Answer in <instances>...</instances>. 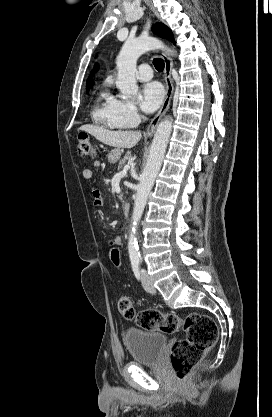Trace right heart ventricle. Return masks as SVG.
Masks as SVG:
<instances>
[{"mask_svg": "<svg viewBox=\"0 0 272 417\" xmlns=\"http://www.w3.org/2000/svg\"><path fill=\"white\" fill-rule=\"evenodd\" d=\"M117 100L109 93L107 89H103L94 105L92 117L93 120L109 129H125L127 125L118 115L116 109Z\"/></svg>", "mask_w": 272, "mask_h": 417, "instance_id": "e07e8e85", "label": "right heart ventricle"}]
</instances>
